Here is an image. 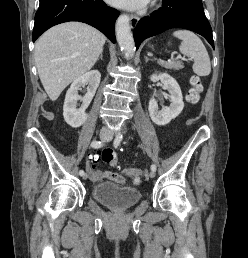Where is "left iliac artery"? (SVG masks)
<instances>
[{
  "instance_id": "obj_1",
  "label": "left iliac artery",
  "mask_w": 248,
  "mask_h": 258,
  "mask_svg": "<svg viewBox=\"0 0 248 258\" xmlns=\"http://www.w3.org/2000/svg\"><path fill=\"white\" fill-rule=\"evenodd\" d=\"M123 139V136L122 135H118L115 140H114V146L117 148L119 146V144L121 143ZM151 171H156V165L155 164H152L151 165Z\"/></svg>"
}]
</instances>
